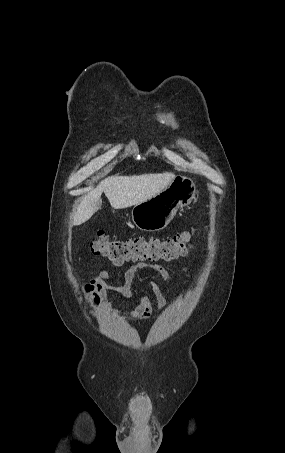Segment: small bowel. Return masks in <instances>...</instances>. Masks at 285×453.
Masks as SVG:
<instances>
[{
  "label": "small bowel",
  "instance_id": "small-bowel-1",
  "mask_svg": "<svg viewBox=\"0 0 285 453\" xmlns=\"http://www.w3.org/2000/svg\"><path fill=\"white\" fill-rule=\"evenodd\" d=\"M151 268L157 271L165 281L170 279L169 271L160 264H152L147 262H139L130 266L124 273V282L118 286H111L107 284L109 275L106 271L100 270L98 274L93 277L87 284L84 285L83 290L86 294L87 300L96 314H108L111 312L109 304L105 301L107 291L111 290L123 297L129 298L134 294L136 285L135 276L137 271ZM187 271V269H185ZM146 285L151 290L153 297L157 303L158 309L162 310L165 307V297L157 283L154 281L146 282ZM100 307V309H98ZM153 313L152 301L148 296L141 297L139 304L131 311L123 313L132 320H148Z\"/></svg>",
  "mask_w": 285,
  "mask_h": 453
}]
</instances>
